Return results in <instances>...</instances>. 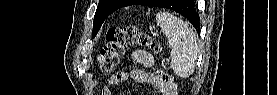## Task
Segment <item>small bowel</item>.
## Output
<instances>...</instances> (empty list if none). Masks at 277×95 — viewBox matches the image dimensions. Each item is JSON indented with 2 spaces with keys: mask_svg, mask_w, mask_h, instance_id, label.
<instances>
[{
  "mask_svg": "<svg viewBox=\"0 0 277 95\" xmlns=\"http://www.w3.org/2000/svg\"><path fill=\"white\" fill-rule=\"evenodd\" d=\"M133 61L139 64L141 69H131L130 71H121L108 78L111 86H117L125 83L129 79L142 84H151L158 87L162 95H175L174 80L160 82L158 74L154 71V58L145 50H135L133 52ZM103 95H111L112 92L108 86L102 88Z\"/></svg>",
  "mask_w": 277,
  "mask_h": 95,
  "instance_id": "obj_1",
  "label": "small bowel"
}]
</instances>
